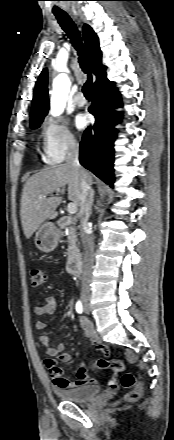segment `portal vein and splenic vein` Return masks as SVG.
<instances>
[{
    "label": "portal vein and splenic vein",
    "instance_id": "obj_1",
    "mask_svg": "<svg viewBox=\"0 0 174 440\" xmlns=\"http://www.w3.org/2000/svg\"><path fill=\"white\" fill-rule=\"evenodd\" d=\"M58 192H59V190L56 191V193H58ZM39 198L40 199H44L45 196L41 195V196H39ZM67 210H68L69 214L74 215V214L77 213V205L75 203L71 202V203L68 204Z\"/></svg>",
    "mask_w": 174,
    "mask_h": 440
}]
</instances>
